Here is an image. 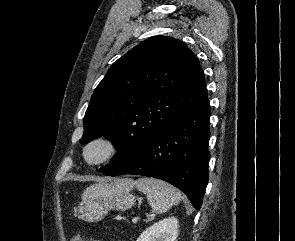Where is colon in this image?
<instances>
[{"instance_id":"1","label":"colon","mask_w":295,"mask_h":241,"mask_svg":"<svg viewBox=\"0 0 295 241\" xmlns=\"http://www.w3.org/2000/svg\"><path fill=\"white\" fill-rule=\"evenodd\" d=\"M71 241H83L80 237L75 236L71 239Z\"/></svg>"}]
</instances>
